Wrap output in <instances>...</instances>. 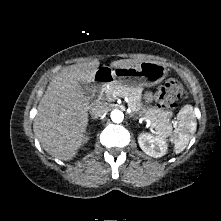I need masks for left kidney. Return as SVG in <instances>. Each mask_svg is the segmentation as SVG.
<instances>
[{
    "instance_id": "1",
    "label": "left kidney",
    "mask_w": 221,
    "mask_h": 221,
    "mask_svg": "<svg viewBox=\"0 0 221 221\" xmlns=\"http://www.w3.org/2000/svg\"><path fill=\"white\" fill-rule=\"evenodd\" d=\"M140 148L149 156L158 158L166 154L168 145L163 137H153L148 133H141L138 137Z\"/></svg>"
}]
</instances>
